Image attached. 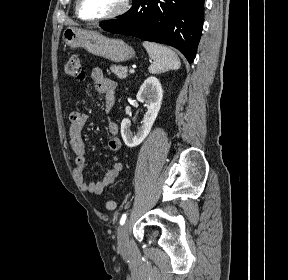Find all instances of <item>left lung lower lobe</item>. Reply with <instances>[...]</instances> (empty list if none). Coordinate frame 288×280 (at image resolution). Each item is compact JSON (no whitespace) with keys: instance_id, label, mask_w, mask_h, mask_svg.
Here are the masks:
<instances>
[{"instance_id":"1","label":"left lung lower lobe","mask_w":288,"mask_h":280,"mask_svg":"<svg viewBox=\"0 0 288 280\" xmlns=\"http://www.w3.org/2000/svg\"><path fill=\"white\" fill-rule=\"evenodd\" d=\"M204 0H135L121 18L100 24L106 31L170 45L194 61L200 41Z\"/></svg>"}]
</instances>
